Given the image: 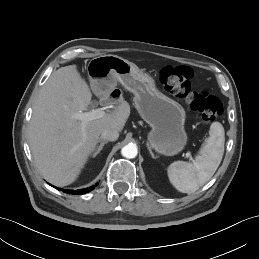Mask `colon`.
I'll use <instances>...</instances> for the list:
<instances>
[{"label": "colon", "mask_w": 259, "mask_h": 259, "mask_svg": "<svg viewBox=\"0 0 259 259\" xmlns=\"http://www.w3.org/2000/svg\"><path fill=\"white\" fill-rule=\"evenodd\" d=\"M192 77L188 66H165L159 72V81L168 93L184 99L204 122L212 123L222 114V103L212 95L193 90Z\"/></svg>", "instance_id": "1"}]
</instances>
